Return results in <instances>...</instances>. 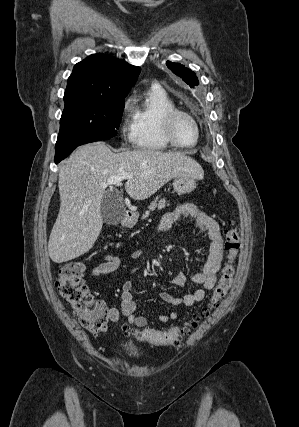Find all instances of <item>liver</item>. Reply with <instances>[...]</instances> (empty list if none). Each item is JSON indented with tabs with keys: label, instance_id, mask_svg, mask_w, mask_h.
Returning a JSON list of instances; mask_svg holds the SVG:
<instances>
[{
	"label": "liver",
	"instance_id": "obj_1",
	"mask_svg": "<svg viewBox=\"0 0 299 427\" xmlns=\"http://www.w3.org/2000/svg\"><path fill=\"white\" fill-rule=\"evenodd\" d=\"M120 173L133 175L125 190L134 200L149 198L177 176H204L202 167L180 152L114 153L103 142L80 146L59 169L60 210L48 242L53 262L70 261L93 247L103 225L100 206L107 193L103 184Z\"/></svg>",
	"mask_w": 299,
	"mask_h": 427
}]
</instances>
